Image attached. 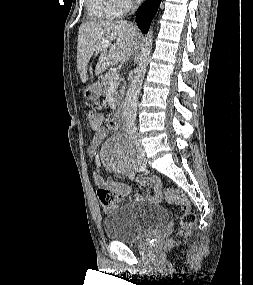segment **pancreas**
Returning <instances> with one entry per match:
<instances>
[{
  "instance_id": "cf45deb5",
  "label": "pancreas",
  "mask_w": 253,
  "mask_h": 285,
  "mask_svg": "<svg viewBox=\"0 0 253 285\" xmlns=\"http://www.w3.org/2000/svg\"><path fill=\"white\" fill-rule=\"evenodd\" d=\"M117 73V71L115 69L109 70L104 77H102L101 79V87H102V92L103 94H107L108 89L110 88V83L109 80L110 78ZM119 83L115 86L116 88H118ZM124 91H125V86H123L120 90H117L115 93V97L116 100L119 101L120 99H122V97L124 96Z\"/></svg>"
}]
</instances>
